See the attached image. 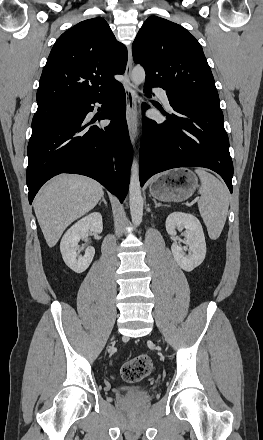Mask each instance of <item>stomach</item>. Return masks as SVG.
<instances>
[{
	"label": "stomach",
	"instance_id": "stomach-1",
	"mask_svg": "<svg viewBox=\"0 0 263 440\" xmlns=\"http://www.w3.org/2000/svg\"><path fill=\"white\" fill-rule=\"evenodd\" d=\"M197 186L198 179L191 170L175 169L155 177L149 191L160 201L181 202L191 197Z\"/></svg>",
	"mask_w": 263,
	"mask_h": 440
}]
</instances>
